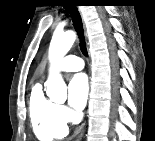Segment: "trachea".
Instances as JSON below:
<instances>
[{
	"label": "trachea",
	"mask_w": 155,
	"mask_h": 141,
	"mask_svg": "<svg viewBox=\"0 0 155 141\" xmlns=\"http://www.w3.org/2000/svg\"><path fill=\"white\" fill-rule=\"evenodd\" d=\"M64 7L70 13L73 25H74V27H75L78 35H79L80 50L83 53V55L88 56L85 38H84V33H83L82 19H81L80 13H79L78 9L71 4L66 5Z\"/></svg>",
	"instance_id": "3493384b"
}]
</instances>
